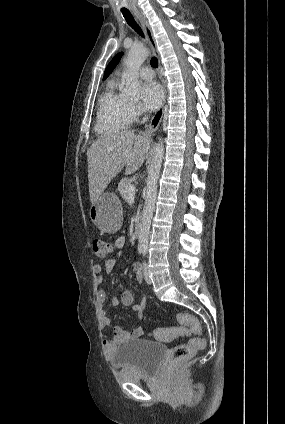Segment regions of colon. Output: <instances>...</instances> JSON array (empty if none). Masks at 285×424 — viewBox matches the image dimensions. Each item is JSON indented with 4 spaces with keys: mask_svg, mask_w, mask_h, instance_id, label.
<instances>
[{
    "mask_svg": "<svg viewBox=\"0 0 285 424\" xmlns=\"http://www.w3.org/2000/svg\"><path fill=\"white\" fill-rule=\"evenodd\" d=\"M92 249L94 254L98 258H106L112 253V246L101 239H95L92 242ZM177 319L183 326H187L195 334H199L201 331V326L199 321L190 314L178 313ZM188 330L184 327L176 328H160L152 332L151 336L156 340L160 341H170L178 337L184 336L185 331ZM205 346V341L203 338L197 336L191 338L186 343L175 346L169 356V363H173L185 358L192 356L195 352L202 349Z\"/></svg>",
    "mask_w": 285,
    "mask_h": 424,
    "instance_id": "colon-1",
    "label": "colon"
}]
</instances>
